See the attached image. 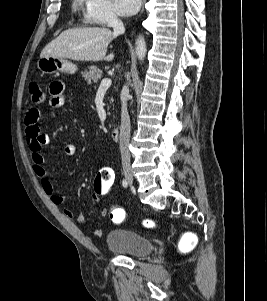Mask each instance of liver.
Masks as SVG:
<instances>
[{"instance_id":"liver-1","label":"liver","mask_w":267,"mask_h":301,"mask_svg":"<svg viewBox=\"0 0 267 301\" xmlns=\"http://www.w3.org/2000/svg\"><path fill=\"white\" fill-rule=\"evenodd\" d=\"M117 35L104 27L68 29L46 45L40 57L75 61H111L114 54L106 56L107 47Z\"/></svg>"}]
</instances>
